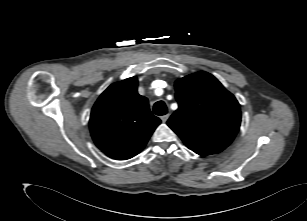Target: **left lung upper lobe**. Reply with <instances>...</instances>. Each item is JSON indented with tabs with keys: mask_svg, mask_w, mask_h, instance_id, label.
<instances>
[{
	"mask_svg": "<svg viewBox=\"0 0 307 221\" xmlns=\"http://www.w3.org/2000/svg\"><path fill=\"white\" fill-rule=\"evenodd\" d=\"M179 108L167 121L197 154H215L235 138L241 123L236 98L211 74L200 71L175 82Z\"/></svg>",
	"mask_w": 307,
	"mask_h": 221,
	"instance_id": "obj_1",
	"label": "left lung upper lobe"
}]
</instances>
